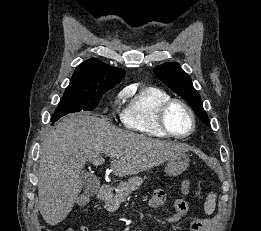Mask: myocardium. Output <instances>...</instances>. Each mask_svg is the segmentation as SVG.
<instances>
[{
    "label": "myocardium",
    "instance_id": "f54148a6",
    "mask_svg": "<svg viewBox=\"0 0 261 231\" xmlns=\"http://www.w3.org/2000/svg\"><path fill=\"white\" fill-rule=\"evenodd\" d=\"M176 104L184 107V109L188 112L190 120H191L190 130L186 134H183V135L174 133L170 129V127L168 126V123H167V113H168L169 109L173 105H176ZM158 124H159V127L161 128V130L164 133H166L167 135L174 137V138H178V139H184V138L189 137L194 132L195 127H196V118H195L192 108L185 101L178 99V98H171L170 100L166 101L164 104H162L160 106L159 111H158Z\"/></svg>",
    "mask_w": 261,
    "mask_h": 231
}]
</instances>
